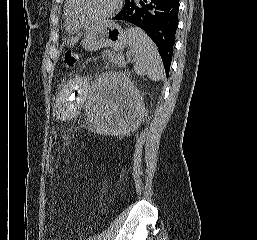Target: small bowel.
I'll return each mask as SVG.
<instances>
[{
    "mask_svg": "<svg viewBox=\"0 0 257 240\" xmlns=\"http://www.w3.org/2000/svg\"><path fill=\"white\" fill-rule=\"evenodd\" d=\"M92 60H95L94 58H92L90 61H92Z\"/></svg>",
    "mask_w": 257,
    "mask_h": 240,
    "instance_id": "c3829d8e",
    "label": "small bowel"
}]
</instances>
